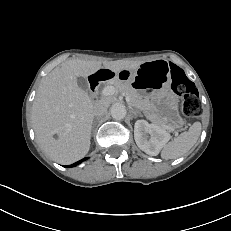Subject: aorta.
<instances>
[{
  "label": "aorta",
  "instance_id": "aorta-1",
  "mask_svg": "<svg viewBox=\"0 0 231 231\" xmlns=\"http://www.w3.org/2000/svg\"><path fill=\"white\" fill-rule=\"evenodd\" d=\"M126 113V108L122 103H114L111 106V116L116 120L124 119Z\"/></svg>",
  "mask_w": 231,
  "mask_h": 231
}]
</instances>
